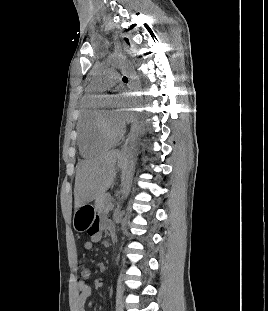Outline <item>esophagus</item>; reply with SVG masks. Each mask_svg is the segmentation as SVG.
<instances>
[{
  "label": "esophagus",
  "instance_id": "1",
  "mask_svg": "<svg viewBox=\"0 0 268 311\" xmlns=\"http://www.w3.org/2000/svg\"><path fill=\"white\" fill-rule=\"evenodd\" d=\"M131 137V133L128 135V138L126 139L125 143L123 144L121 151H120V155H124L126 150H127V145H128V141Z\"/></svg>",
  "mask_w": 268,
  "mask_h": 311
}]
</instances>
